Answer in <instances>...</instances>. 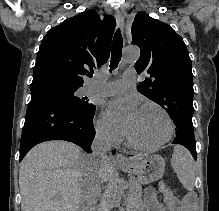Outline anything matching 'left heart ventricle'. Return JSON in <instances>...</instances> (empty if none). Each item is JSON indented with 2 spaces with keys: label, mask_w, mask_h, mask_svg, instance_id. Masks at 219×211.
Returning a JSON list of instances; mask_svg holds the SVG:
<instances>
[{
  "label": "left heart ventricle",
  "mask_w": 219,
  "mask_h": 211,
  "mask_svg": "<svg viewBox=\"0 0 219 211\" xmlns=\"http://www.w3.org/2000/svg\"><path fill=\"white\" fill-rule=\"evenodd\" d=\"M168 130L165 115L156 107L139 108L132 123L127 127L131 137L143 144H154L161 141Z\"/></svg>",
  "instance_id": "left-heart-ventricle-1"
}]
</instances>
